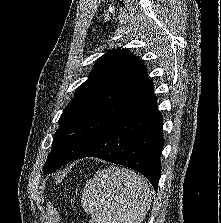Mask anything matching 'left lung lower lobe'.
<instances>
[{
    "instance_id": "0a47b994",
    "label": "left lung lower lobe",
    "mask_w": 221,
    "mask_h": 223,
    "mask_svg": "<svg viewBox=\"0 0 221 223\" xmlns=\"http://www.w3.org/2000/svg\"><path fill=\"white\" fill-rule=\"evenodd\" d=\"M162 121L152 86L137 104L74 159L97 157L123 165L143 174L157 189L164 144Z\"/></svg>"
}]
</instances>
